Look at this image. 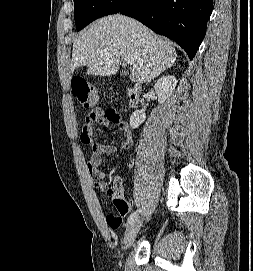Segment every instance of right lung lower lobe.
Returning <instances> with one entry per match:
<instances>
[{"label": "right lung lower lobe", "mask_w": 253, "mask_h": 271, "mask_svg": "<svg viewBox=\"0 0 253 271\" xmlns=\"http://www.w3.org/2000/svg\"><path fill=\"white\" fill-rule=\"evenodd\" d=\"M212 0H126L118 13L176 41L192 59L201 44Z\"/></svg>", "instance_id": "right-lung-lower-lobe-1"}]
</instances>
